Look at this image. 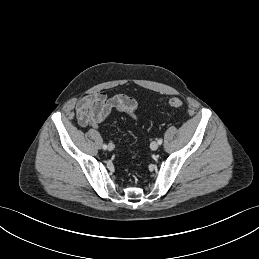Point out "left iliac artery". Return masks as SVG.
<instances>
[{
    "instance_id": "44dca946",
    "label": "left iliac artery",
    "mask_w": 259,
    "mask_h": 259,
    "mask_svg": "<svg viewBox=\"0 0 259 259\" xmlns=\"http://www.w3.org/2000/svg\"><path fill=\"white\" fill-rule=\"evenodd\" d=\"M157 142H158V144H159V145H161V144H162V142H163V140L160 138V139H158V141H157Z\"/></svg>"
}]
</instances>
